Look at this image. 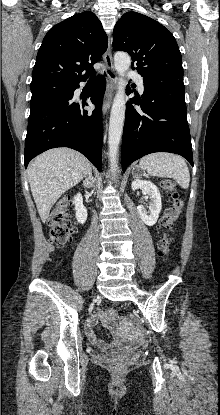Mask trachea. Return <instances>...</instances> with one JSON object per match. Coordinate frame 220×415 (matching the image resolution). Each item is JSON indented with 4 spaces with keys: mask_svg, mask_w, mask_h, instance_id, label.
Segmentation results:
<instances>
[{
    "mask_svg": "<svg viewBox=\"0 0 220 415\" xmlns=\"http://www.w3.org/2000/svg\"><path fill=\"white\" fill-rule=\"evenodd\" d=\"M109 74L112 76V77H114V75L111 73V72H109ZM94 78V76H92L91 77V79H93Z\"/></svg>",
    "mask_w": 220,
    "mask_h": 415,
    "instance_id": "obj_1",
    "label": "trachea"
}]
</instances>
